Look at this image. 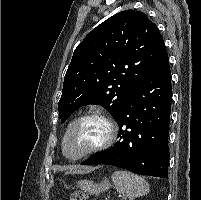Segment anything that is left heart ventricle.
Listing matches in <instances>:
<instances>
[{
	"mask_svg": "<svg viewBox=\"0 0 201 200\" xmlns=\"http://www.w3.org/2000/svg\"><path fill=\"white\" fill-rule=\"evenodd\" d=\"M106 128L97 119H89L79 123L71 132L68 142V154L78 156L103 141Z\"/></svg>",
	"mask_w": 201,
	"mask_h": 200,
	"instance_id": "left-heart-ventricle-1",
	"label": "left heart ventricle"
}]
</instances>
